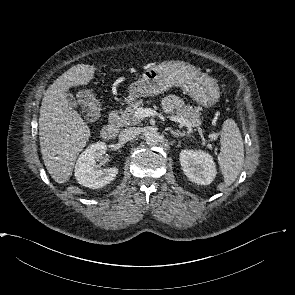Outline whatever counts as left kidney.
Segmentation results:
<instances>
[{"instance_id": "1", "label": "left kidney", "mask_w": 295, "mask_h": 295, "mask_svg": "<svg viewBox=\"0 0 295 295\" xmlns=\"http://www.w3.org/2000/svg\"><path fill=\"white\" fill-rule=\"evenodd\" d=\"M180 163L188 179L200 185L212 183L217 173L212 156L201 150H182Z\"/></svg>"}]
</instances>
